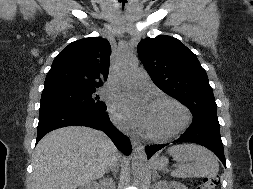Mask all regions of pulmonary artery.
I'll use <instances>...</instances> for the list:
<instances>
[{
    "label": "pulmonary artery",
    "instance_id": "1",
    "mask_svg": "<svg viewBox=\"0 0 253 189\" xmlns=\"http://www.w3.org/2000/svg\"><path fill=\"white\" fill-rule=\"evenodd\" d=\"M129 83H135L139 86H147L149 84V79L147 75L143 72H134L129 78Z\"/></svg>",
    "mask_w": 253,
    "mask_h": 189
}]
</instances>
